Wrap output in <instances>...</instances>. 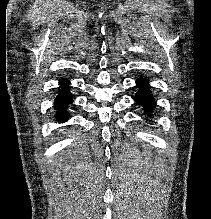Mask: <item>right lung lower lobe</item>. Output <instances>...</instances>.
<instances>
[{"label": "right lung lower lobe", "mask_w": 211, "mask_h": 219, "mask_svg": "<svg viewBox=\"0 0 211 219\" xmlns=\"http://www.w3.org/2000/svg\"><path fill=\"white\" fill-rule=\"evenodd\" d=\"M65 82L67 84H65ZM57 98L55 99L54 108L56 109V120L65 122L68 120L69 113L67 107L72 103L73 96L69 92V82L65 79L61 80V86Z\"/></svg>", "instance_id": "98d812e1"}]
</instances>
